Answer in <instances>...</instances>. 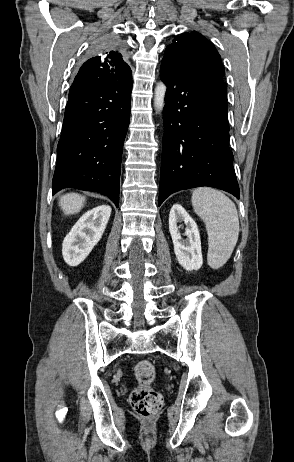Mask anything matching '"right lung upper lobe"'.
<instances>
[{"mask_svg": "<svg viewBox=\"0 0 294 462\" xmlns=\"http://www.w3.org/2000/svg\"><path fill=\"white\" fill-rule=\"evenodd\" d=\"M131 74L119 51L102 50L88 59L79 69L69 94L96 90L122 81Z\"/></svg>", "mask_w": 294, "mask_h": 462, "instance_id": "cb5924a9", "label": "right lung upper lobe"}]
</instances>
